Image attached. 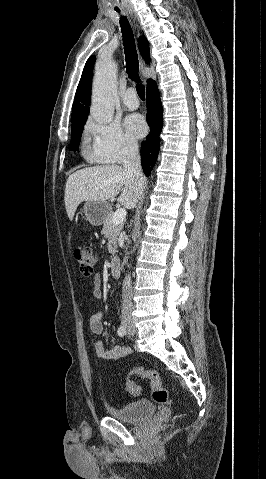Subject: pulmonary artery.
I'll list each match as a JSON object with an SVG mask.
<instances>
[{
	"label": "pulmonary artery",
	"instance_id": "obj_1",
	"mask_svg": "<svg viewBox=\"0 0 266 479\" xmlns=\"http://www.w3.org/2000/svg\"><path fill=\"white\" fill-rule=\"evenodd\" d=\"M123 102L130 110H134L139 107V100L136 91L133 88L127 89L123 97Z\"/></svg>",
	"mask_w": 266,
	"mask_h": 479
}]
</instances>
